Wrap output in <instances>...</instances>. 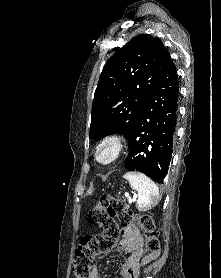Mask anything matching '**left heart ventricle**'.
Returning <instances> with one entry per match:
<instances>
[{"label":"left heart ventricle","mask_w":221,"mask_h":278,"mask_svg":"<svg viewBox=\"0 0 221 278\" xmlns=\"http://www.w3.org/2000/svg\"><path fill=\"white\" fill-rule=\"evenodd\" d=\"M112 156V150L109 147H102L99 151V157L102 161L108 160Z\"/></svg>","instance_id":"1"}]
</instances>
